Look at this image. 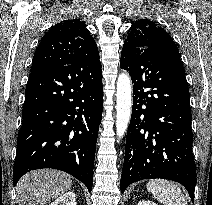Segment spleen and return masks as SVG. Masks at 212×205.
I'll return each instance as SVG.
<instances>
[{"mask_svg":"<svg viewBox=\"0 0 212 205\" xmlns=\"http://www.w3.org/2000/svg\"><path fill=\"white\" fill-rule=\"evenodd\" d=\"M146 188L163 205H188L180 187L173 182L153 179L147 183Z\"/></svg>","mask_w":212,"mask_h":205,"instance_id":"spleen-1","label":"spleen"}]
</instances>
